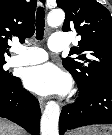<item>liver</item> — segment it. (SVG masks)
Masks as SVG:
<instances>
[{"label": "liver", "mask_w": 112, "mask_h": 135, "mask_svg": "<svg viewBox=\"0 0 112 135\" xmlns=\"http://www.w3.org/2000/svg\"><path fill=\"white\" fill-rule=\"evenodd\" d=\"M0 135H25V132L21 127L0 118Z\"/></svg>", "instance_id": "obj_1"}]
</instances>
